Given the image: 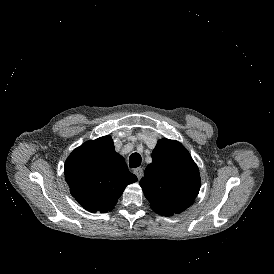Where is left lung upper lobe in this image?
Wrapping results in <instances>:
<instances>
[{
  "instance_id": "1",
  "label": "left lung upper lobe",
  "mask_w": 274,
  "mask_h": 274,
  "mask_svg": "<svg viewBox=\"0 0 274 274\" xmlns=\"http://www.w3.org/2000/svg\"><path fill=\"white\" fill-rule=\"evenodd\" d=\"M152 159L140 180L145 197L160 215L181 213L199 193L197 165L179 142L165 138L158 141Z\"/></svg>"
}]
</instances>
